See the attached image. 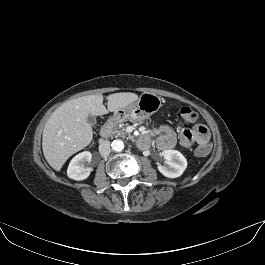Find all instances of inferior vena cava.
<instances>
[{
	"instance_id": "1",
	"label": "inferior vena cava",
	"mask_w": 265,
	"mask_h": 265,
	"mask_svg": "<svg viewBox=\"0 0 265 265\" xmlns=\"http://www.w3.org/2000/svg\"><path fill=\"white\" fill-rule=\"evenodd\" d=\"M111 152L110 142L108 140H103L99 145V153L102 157H107Z\"/></svg>"
}]
</instances>
